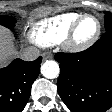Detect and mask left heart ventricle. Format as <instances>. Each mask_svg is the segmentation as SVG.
<instances>
[{
	"instance_id": "1",
	"label": "left heart ventricle",
	"mask_w": 112,
	"mask_h": 112,
	"mask_svg": "<svg viewBox=\"0 0 112 112\" xmlns=\"http://www.w3.org/2000/svg\"><path fill=\"white\" fill-rule=\"evenodd\" d=\"M97 29V23L93 18H86L80 24L77 33L76 39L80 42L86 41L91 38Z\"/></svg>"
}]
</instances>
